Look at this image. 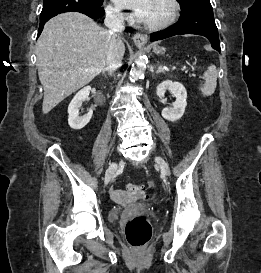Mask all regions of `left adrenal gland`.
Segmentation results:
<instances>
[{
    "instance_id": "obj_1",
    "label": "left adrenal gland",
    "mask_w": 261,
    "mask_h": 273,
    "mask_svg": "<svg viewBox=\"0 0 261 273\" xmlns=\"http://www.w3.org/2000/svg\"><path fill=\"white\" fill-rule=\"evenodd\" d=\"M160 72H164V69H163L162 65H160L158 67V70L156 71L157 74L160 73Z\"/></svg>"
}]
</instances>
